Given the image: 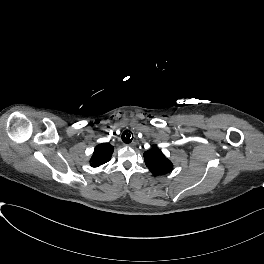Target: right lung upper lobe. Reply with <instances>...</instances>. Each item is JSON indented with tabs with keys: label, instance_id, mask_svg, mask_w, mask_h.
Returning <instances> with one entry per match:
<instances>
[{
	"label": "right lung upper lobe",
	"instance_id": "1",
	"mask_svg": "<svg viewBox=\"0 0 264 264\" xmlns=\"http://www.w3.org/2000/svg\"><path fill=\"white\" fill-rule=\"evenodd\" d=\"M113 150V146H111L109 143L97 145L90 159V165L92 167H99L105 164L111 159Z\"/></svg>",
	"mask_w": 264,
	"mask_h": 264
}]
</instances>
